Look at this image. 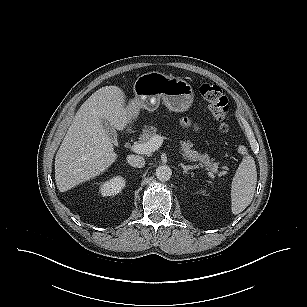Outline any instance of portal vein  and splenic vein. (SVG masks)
I'll use <instances>...</instances> for the list:
<instances>
[{
	"label": "portal vein and splenic vein",
	"instance_id": "1",
	"mask_svg": "<svg viewBox=\"0 0 307 307\" xmlns=\"http://www.w3.org/2000/svg\"><path fill=\"white\" fill-rule=\"evenodd\" d=\"M164 140V137L155 134L151 137V139L146 143H135L131 149L133 152L138 154H151L160 148ZM227 169L228 167L225 166Z\"/></svg>",
	"mask_w": 307,
	"mask_h": 307
}]
</instances>
